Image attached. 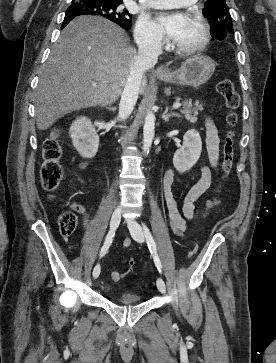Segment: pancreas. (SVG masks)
Returning a JSON list of instances; mask_svg holds the SVG:
<instances>
[{"label": "pancreas", "instance_id": "cf45deb5", "mask_svg": "<svg viewBox=\"0 0 276 363\" xmlns=\"http://www.w3.org/2000/svg\"><path fill=\"white\" fill-rule=\"evenodd\" d=\"M182 109L180 110L181 114L185 116V118L190 122L197 121V115L199 111H203V104L199 101H195L192 103V100H187L182 102Z\"/></svg>", "mask_w": 276, "mask_h": 363}]
</instances>
